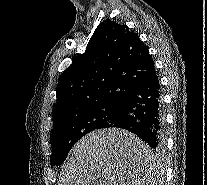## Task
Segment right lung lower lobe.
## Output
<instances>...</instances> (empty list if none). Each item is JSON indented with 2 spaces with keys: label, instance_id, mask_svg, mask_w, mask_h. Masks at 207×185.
I'll return each instance as SVG.
<instances>
[{
  "label": "right lung lower lobe",
  "instance_id": "obj_1",
  "mask_svg": "<svg viewBox=\"0 0 207 185\" xmlns=\"http://www.w3.org/2000/svg\"><path fill=\"white\" fill-rule=\"evenodd\" d=\"M118 104L116 121L106 127L129 130L152 148L161 149L165 118L158 76L155 74L133 85L121 96Z\"/></svg>",
  "mask_w": 207,
  "mask_h": 185
}]
</instances>
